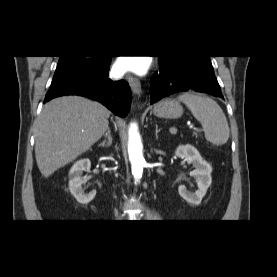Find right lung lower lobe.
Listing matches in <instances>:
<instances>
[{"label":"right lung lower lobe","mask_w":277,"mask_h":277,"mask_svg":"<svg viewBox=\"0 0 277 277\" xmlns=\"http://www.w3.org/2000/svg\"><path fill=\"white\" fill-rule=\"evenodd\" d=\"M110 63L111 58L108 57L93 71L69 82L50 87L44 103L63 95H79L101 102L118 116H127L132 101L131 91L126 81H112L108 77Z\"/></svg>","instance_id":"right-lung-lower-lobe-1"}]
</instances>
